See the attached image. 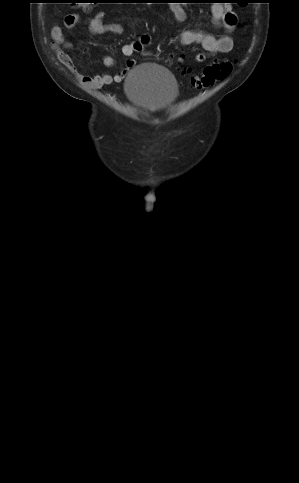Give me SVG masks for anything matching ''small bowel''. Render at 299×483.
Wrapping results in <instances>:
<instances>
[{
	"instance_id": "obj_1",
	"label": "small bowel",
	"mask_w": 299,
	"mask_h": 483,
	"mask_svg": "<svg viewBox=\"0 0 299 483\" xmlns=\"http://www.w3.org/2000/svg\"><path fill=\"white\" fill-rule=\"evenodd\" d=\"M171 12L178 22H184L186 14L183 8L177 4L170 7ZM212 18L216 25L222 26L225 30V34L216 37L212 34L194 31L184 30L180 34V41L182 44H200L203 49L210 54H226L230 53L234 46L233 38L229 35L236 28L237 17L229 11L228 8L218 2L212 6ZM105 14L98 12L93 18L88 20L90 32L94 35H102L106 33H112L120 35L124 32V27L119 23H104ZM81 21V17L77 14H68L64 18V24L67 28L72 29L76 24ZM52 47L59 59V61L71 71L75 70V65L70 55L65 49H70L71 44L67 42L65 34L61 27L55 25L51 29ZM151 35L145 34L138 40L126 43L122 46L121 52L124 56L128 57L126 66L120 70L117 74L111 75L107 72L97 73L95 75H81L78 74L77 78L79 82L89 88L98 89L112 82H121L124 80L127 71L133 67L136 63L132 56L143 51L148 45L151 44ZM206 55L198 53L195 56L197 62H204ZM102 63L107 67L115 65V59L112 56H105L102 59Z\"/></svg>"
}]
</instances>
